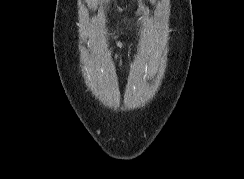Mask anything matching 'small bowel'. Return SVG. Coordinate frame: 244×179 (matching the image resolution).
Instances as JSON below:
<instances>
[{
	"instance_id": "small-bowel-1",
	"label": "small bowel",
	"mask_w": 244,
	"mask_h": 179,
	"mask_svg": "<svg viewBox=\"0 0 244 179\" xmlns=\"http://www.w3.org/2000/svg\"><path fill=\"white\" fill-rule=\"evenodd\" d=\"M117 46H118V47H122V46H123L122 42L118 41V42H117ZM117 59H118L119 61H122V55H121V54L117 55Z\"/></svg>"
}]
</instances>
